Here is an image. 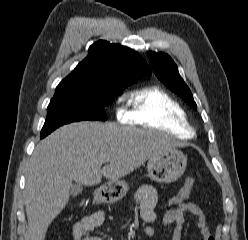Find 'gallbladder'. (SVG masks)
<instances>
[{"mask_svg":"<svg viewBox=\"0 0 248 240\" xmlns=\"http://www.w3.org/2000/svg\"><path fill=\"white\" fill-rule=\"evenodd\" d=\"M83 190V187L80 184L73 185L70 189V194L72 196H76L80 194Z\"/></svg>","mask_w":248,"mask_h":240,"instance_id":"obj_1","label":"gallbladder"}]
</instances>
